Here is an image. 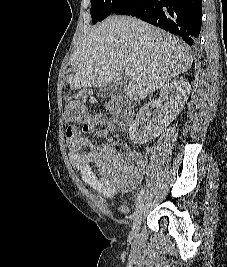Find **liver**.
<instances>
[{
    "label": "liver",
    "instance_id": "obj_1",
    "mask_svg": "<svg viewBox=\"0 0 227 267\" xmlns=\"http://www.w3.org/2000/svg\"><path fill=\"white\" fill-rule=\"evenodd\" d=\"M192 62L181 39L139 19L113 15L95 25L73 52L66 83L71 90L102 87L129 68L135 74L124 91L140 100L187 72Z\"/></svg>",
    "mask_w": 227,
    "mask_h": 267
}]
</instances>
